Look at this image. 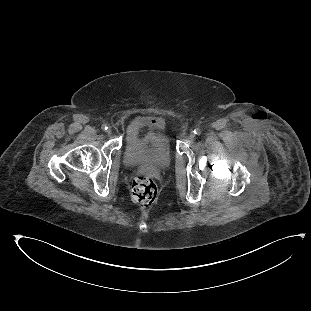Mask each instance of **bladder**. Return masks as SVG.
<instances>
[{
  "label": "bladder",
  "instance_id": "31cf9c89",
  "mask_svg": "<svg viewBox=\"0 0 311 311\" xmlns=\"http://www.w3.org/2000/svg\"><path fill=\"white\" fill-rule=\"evenodd\" d=\"M172 155L170 134L166 127L135 132L123 149L124 164L134 170L164 171L169 167Z\"/></svg>",
  "mask_w": 311,
  "mask_h": 311
}]
</instances>
